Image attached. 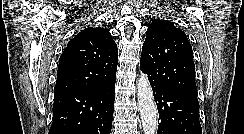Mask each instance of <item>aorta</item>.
<instances>
[{"label":"aorta","instance_id":"762f6f07","mask_svg":"<svg viewBox=\"0 0 244 134\" xmlns=\"http://www.w3.org/2000/svg\"><path fill=\"white\" fill-rule=\"evenodd\" d=\"M136 87L143 132L144 134H155L158 126V112L152 88L145 74H140Z\"/></svg>","mask_w":244,"mask_h":134}]
</instances>
